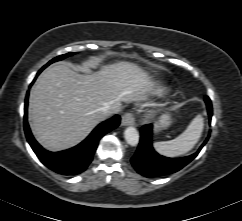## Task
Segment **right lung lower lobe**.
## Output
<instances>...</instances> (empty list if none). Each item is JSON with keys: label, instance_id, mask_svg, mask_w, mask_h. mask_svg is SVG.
I'll return each mask as SVG.
<instances>
[{"label": "right lung lower lobe", "instance_id": "right-lung-lower-lobe-1", "mask_svg": "<svg viewBox=\"0 0 242 221\" xmlns=\"http://www.w3.org/2000/svg\"><path fill=\"white\" fill-rule=\"evenodd\" d=\"M43 69L44 68H42L37 75H39ZM28 95L29 91L25 98L24 108V129L27 140L41 162L51 170L62 175H77L85 171L92 161L100 138L120 124V116L115 115L111 119L99 124L79 145L61 152H50L43 149L38 144L30 131L27 122Z\"/></svg>", "mask_w": 242, "mask_h": 221}]
</instances>
